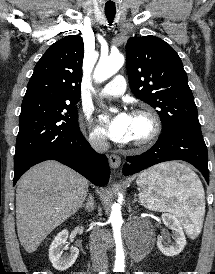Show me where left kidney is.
<instances>
[{
    "label": "left kidney",
    "instance_id": "obj_1",
    "mask_svg": "<svg viewBox=\"0 0 215 274\" xmlns=\"http://www.w3.org/2000/svg\"><path fill=\"white\" fill-rule=\"evenodd\" d=\"M162 220L164 224L173 231L172 237L174 239V242L170 245L171 241L165 234L158 236V249L166 256H176L179 253H181V251L184 249L186 245V238L184 235L183 228L178 219L170 213L162 214Z\"/></svg>",
    "mask_w": 215,
    "mask_h": 274
}]
</instances>
